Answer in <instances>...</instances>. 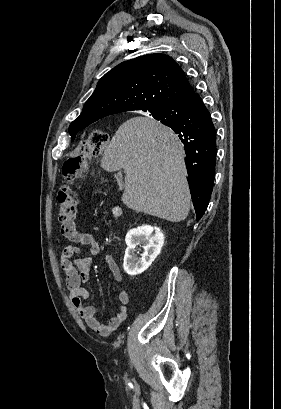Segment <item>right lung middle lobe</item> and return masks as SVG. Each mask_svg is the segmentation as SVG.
Masks as SVG:
<instances>
[{
    "mask_svg": "<svg viewBox=\"0 0 281 409\" xmlns=\"http://www.w3.org/2000/svg\"><path fill=\"white\" fill-rule=\"evenodd\" d=\"M156 120L160 121L161 123H163L164 125H169L173 118L172 117H166V118H155ZM82 128H77V127H69V133L71 135V140H74L76 133L78 131H80Z\"/></svg>",
    "mask_w": 281,
    "mask_h": 409,
    "instance_id": "obj_1",
    "label": "right lung middle lobe"
}]
</instances>
